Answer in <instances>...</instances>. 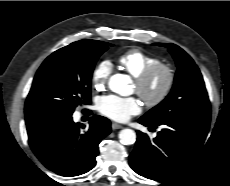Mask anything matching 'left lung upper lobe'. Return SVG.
Here are the masks:
<instances>
[{"mask_svg": "<svg viewBox=\"0 0 230 186\" xmlns=\"http://www.w3.org/2000/svg\"><path fill=\"white\" fill-rule=\"evenodd\" d=\"M155 45L169 49L178 69L170 94L141 118L153 124H160L187 115H210V102L205 84L192 58L177 45Z\"/></svg>", "mask_w": 230, "mask_h": 186, "instance_id": "obj_1", "label": "left lung upper lobe"}]
</instances>
